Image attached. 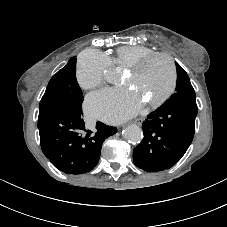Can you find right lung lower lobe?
Here are the masks:
<instances>
[{"instance_id":"98d812e1","label":"right lung lower lobe","mask_w":227,"mask_h":227,"mask_svg":"<svg viewBox=\"0 0 227 227\" xmlns=\"http://www.w3.org/2000/svg\"><path fill=\"white\" fill-rule=\"evenodd\" d=\"M40 144L44 155L66 174H83L98 163L104 140L116 133L115 127L96 123L85 128L82 110L62 109L38 119Z\"/></svg>"}]
</instances>
